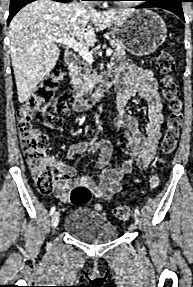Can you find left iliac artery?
<instances>
[{
  "label": "left iliac artery",
  "instance_id": "left-iliac-artery-1",
  "mask_svg": "<svg viewBox=\"0 0 193 287\" xmlns=\"http://www.w3.org/2000/svg\"><path fill=\"white\" fill-rule=\"evenodd\" d=\"M134 211H135V213H136L137 215H139V214H140V211H139V209H138V208H135V209H134Z\"/></svg>",
  "mask_w": 193,
  "mask_h": 287
}]
</instances>
